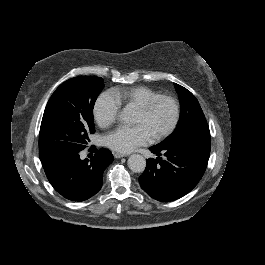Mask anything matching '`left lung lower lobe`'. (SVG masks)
Wrapping results in <instances>:
<instances>
[{
	"mask_svg": "<svg viewBox=\"0 0 265 265\" xmlns=\"http://www.w3.org/2000/svg\"><path fill=\"white\" fill-rule=\"evenodd\" d=\"M210 137H189L166 146H153L150 151L166 156L146 161L139 177L142 189L152 198L168 202L189 193L202 178L209 159Z\"/></svg>",
	"mask_w": 265,
	"mask_h": 265,
	"instance_id": "1",
	"label": "left lung lower lobe"
}]
</instances>
